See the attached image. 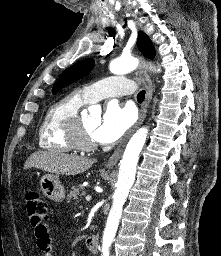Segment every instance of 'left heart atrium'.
I'll use <instances>...</instances> for the list:
<instances>
[{
    "label": "left heart atrium",
    "mask_w": 221,
    "mask_h": 256,
    "mask_svg": "<svg viewBox=\"0 0 221 256\" xmlns=\"http://www.w3.org/2000/svg\"><path fill=\"white\" fill-rule=\"evenodd\" d=\"M135 112L128 106L109 102L103 117L92 133L95 141L105 144L116 142L135 121Z\"/></svg>",
    "instance_id": "39dd6f15"
}]
</instances>
